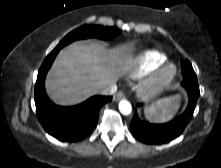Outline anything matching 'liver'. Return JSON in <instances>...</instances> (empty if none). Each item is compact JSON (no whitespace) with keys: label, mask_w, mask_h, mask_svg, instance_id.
<instances>
[{"label":"liver","mask_w":221,"mask_h":168,"mask_svg":"<svg viewBox=\"0 0 221 168\" xmlns=\"http://www.w3.org/2000/svg\"><path fill=\"white\" fill-rule=\"evenodd\" d=\"M130 49H106L97 42L72 44L60 51L45 86L57 104H78L116 82L131 64Z\"/></svg>","instance_id":"liver-1"}]
</instances>
